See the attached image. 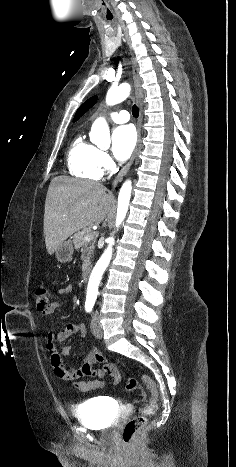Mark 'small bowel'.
Returning a JSON list of instances; mask_svg holds the SVG:
<instances>
[{
  "mask_svg": "<svg viewBox=\"0 0 236 467\" xmlns=\"http://www.w3.org/2000/svg\"><path fill=\"white\" fill-rule=\"evenodd\" d=\"M73 290L71 284H66L60 287L57 291L58 297L69 295ZM63 305V301L58 298L49 303V305L41 310L43 318L48 317L55 311L59 310ZM73 333H79L81 336L86 334L85 326L80 322L64 323L61 328L54 332L50 330L46 337V349L50 354V362L55 374L62 380L71 381L91 377L87 381H77L75 387L82 392L98 390L103 387L102 379L105 376H110L113 380V385H117L121 380V375L115 364L104 362L101 367H97L102 359H98L100 355L97 349H91L83 358V363L78 368H69L64 364L63 357L68 356L71 352L69 345L63 346L61 349L56 347L55 343L66 342Z\"/></svg>",
  "mask_w": 236,
  "mask_h": 467,
  "instance_id": "obj_1",
  "label": "small bowel"
}]
</instances>
